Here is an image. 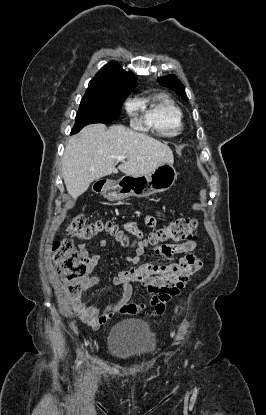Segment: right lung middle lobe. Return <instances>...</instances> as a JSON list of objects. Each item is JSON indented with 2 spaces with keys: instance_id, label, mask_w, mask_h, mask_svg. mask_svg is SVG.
<instances>
[{
  "instance_id": "obj_1",
  "label": "right lung middle lobe",
  "mask_w": 266,
  "mask_h": 415,
  "mask_svg": "<svg viewBox=\"0 0 266 415\" xmlns=\"http://www.w3.org/2000/svg\"><path fill=\"white\" fill-rule=\"evenodd\" d=\"M127 96V93L109 97L84 96L81 100L71 134L79 132L88 124H108L118 119L122 102Z\"/></svg>"
}]
</instances>
